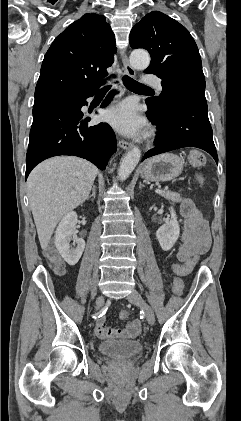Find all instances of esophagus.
I'll return each mask as SVG.
<instances>
[{
    "label": "esophagus",
    "mask_w": 241,
    "mask_h": 421,
    "mask_svg": "<svg viewBox=\"0 0 241 421\" xmlns=\"http://www.w3.org/2000/svg\"><path fill=\"white\" fill-rule=\"evenodd\" d=\"M122 63H123V68H124L125 73L130 77H135L136 72H135L134 68L130 65L126 52H123V54H122ZM118 145H119L120 148H122L124 150H128V149H131L133 147V144L131 142H128V141L123 140V139L119 140Z\"/></svg>",
    "instance_id": "esophagus-1"
}]
</instances>
